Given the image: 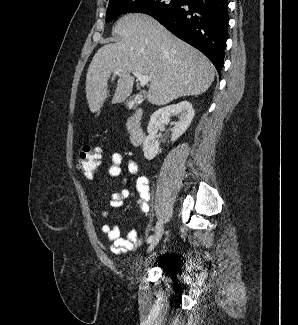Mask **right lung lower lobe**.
<instances>
[{
	"label": "right lung lower lobe",
	"mask_w": 298,
	"mask_h": 325,
	"mask_svg": "<svg viewBox=\"0 0 298 325\" xmlns=\"http://www.w3.org/2000/svg\"><path fill=\"white\" fill-rule=\"evenodd\" d=\"M187 5L188 7H182ZM154 16L178 38L204 53L220 73L229 22L227 0H185Z\"/></svg>",
	"instance_id": "98d812e1"
}]
</instances>
